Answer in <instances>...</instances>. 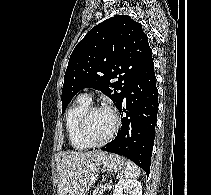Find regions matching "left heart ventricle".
<instances>
[{"label":"left heart ventricle","mask_w":211,"mask_h":195,"mask_svg":"<svg viewBox=\"0 0 211 195\" xmlns=\"http://www.w3.org/2000/svg\"><path fill=\"white\" fill-rule=\"evenodd\" d=\"M113 115L105 110L93 112L86 123V135L92 142H99L105 139L114 127Z\"/></svg>","instance_id":"1"}]
</instances>
